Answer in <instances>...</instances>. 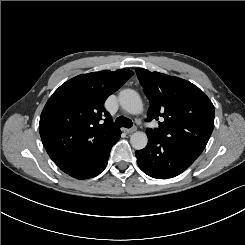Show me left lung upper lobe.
Wrapping results in <instances>:
<instances>
[{
  "label": "left lung upper lobe",
  "instance_id": "5c2ea615",
  "mask_svg": "<svg viewBox=\"0 0 245 245\" xmlns=\"http://www.w3.org/2000/svg\"><path fill=\"white\" fill-rule=\"evenodd\" d=\"M136 73L150 101L146 121H161L158 128L147 129V136L180 146L198 157L214 128L212 102L197 86L181 78L142 68H136Z\"/></svg>",
  "mask_w": 245,
  "mask_h": 245
}]
</instances>
